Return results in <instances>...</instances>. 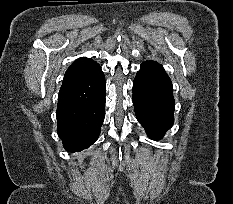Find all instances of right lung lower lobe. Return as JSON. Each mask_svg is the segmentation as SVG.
I'll return each instance as SVG.
<instances>
[{"mask_svg": "<svg viewBox=\"0 0 233 204\" xmlns=\"http://www.w3.org/2000/svg\"><path fill=\"white\" fill-rule=\"evenodd\" d=\"M106 81L100 66L62 84L58 96L57 133L69 152L88 148L104 121Z\"/></svg>", "mask_w": 233, "mask_h": 204, "instance_id": "obj_1", "label": "right lung lower lobe"}]
</instances>
